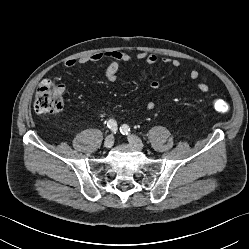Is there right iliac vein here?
Returning <instances> with one entry per match:
<instances>
[{
  "mask_svg": "<svg viewBox=\"0 0 249 249\" xmlns=\"http://www.w3.org/2000/svg\"><path fill=\"white\" fill-rule=\"evenodd\" d=\"M114 144V136L113 135H108L106 138H105V141H104V147L109 149L113 146Z\"/></svg>",
  "mask_w": 249,
  "mask_h": 249,
  "instance_id": "1",
  "label": "right iliac vein"
}]
</instances>
